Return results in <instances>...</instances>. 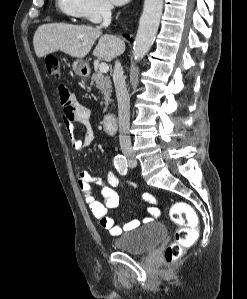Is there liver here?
<instances>
[{
    "label": "liver",
    "instance_id": "1",
    "mask_svg": "<svg viewBox=\"0 0 247 299\" xmlns=\"http://www.w3.org/2000/svg\"><path fill=\"white\" fill-rule=\"evenodd\" d=\"M98 38L93 55L99 59L110 62L125 50L124 41L113 35H102L97 27L67 23H49L39 26L33 37V45L38 58L57 51L83 58L90 52Z\"/></svg>",
    "mask_w": 247,
    "mask_h": 299
}]
</instances>
